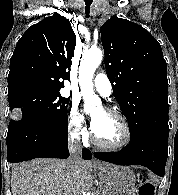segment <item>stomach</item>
<instances>
[{
	"label": "stomach",
	"mask_w": 178,
	"mask_h": 195,
	"mask_svg": "<svg viewBox=\"0 0 178 195\" xmlns=\"http://www.w3.org/2000/svg\"><path fill=\"white\" fill-rule=\"evenodd\" d=\"M101 195H136V175L128 167L108 165L98 169Z\"/></svg>",
	"instance_id": "obj_1"
}]
</instances>
